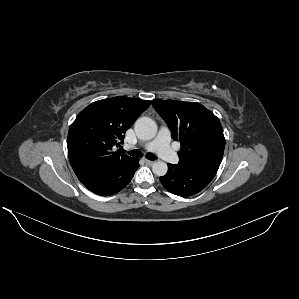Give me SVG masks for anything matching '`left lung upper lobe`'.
<instances>
[{
  "instance_id": "5c2ea615",
  "label": "left lung upper lobe",
  "mask_w": 299,
  "mask_h": 299,
  "mask_svg": "<svg viewBox=\"0 0 299 299\" xmlns=\"http://www.w3.org/2000/svg\"><path fill=\"white\" fill-rule=\"evenodd\" d=\"M152 105L180 141L179 165L220 166L225 138L219 119L196 102L153 100Z\"/></svg>"
}]
</instances>
